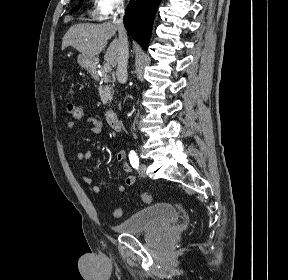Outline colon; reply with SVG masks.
<instances>
[{"label": "colon", "instance_id": "1", "mask_svg": "<svg viewBox=\"0 0 288 280\" xmlns=\"http://www.w3.org/2000/svg\"><path fill=\"white\" fill-rule=\"evenodd\" d=\"M67 111L75 121L82 120L85 114L84 107L81 104L73 102L67 104ZM141 200L144 204H149L151 202V196L147 193H144L141 196ZM122 214L123 210L120 207H117L113 210V216L116 218L121 217Z\"/></svg>", "mask_w": 288, "mask_h": 280}]
</instances>
